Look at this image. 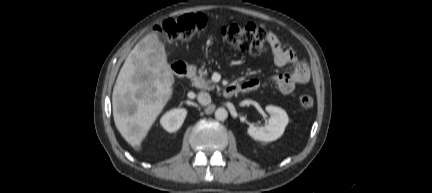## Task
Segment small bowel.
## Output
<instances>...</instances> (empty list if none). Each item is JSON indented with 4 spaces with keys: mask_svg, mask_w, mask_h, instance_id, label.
<instances>
[{
    "mask_svg": "<svg viewBox=\"0 0 432 193\" xmlns=\"http://www.w3.org/2000/svg\"><path fill=\"white\" fill-rule=\"evenodd\" d=\"M266 32L275 65L279 67L290 66L288 71L272 76L268 83L283 94H290L297 85L306 84L309 81V68L305 62L297 60L294 52L283 45L272 31L267 30ZM239 85L240 91L248 92L256 90L260 86V82L258 79L251 78Z\"/></svg>",
    "mask_w": 432,
    "mask_h": 193,
    "instance_id": "c3829d8e",
    "label": "small bowel"
}]
</instances>
